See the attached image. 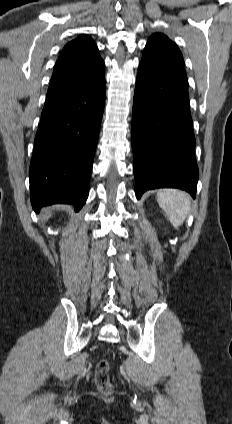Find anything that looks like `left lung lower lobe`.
I'll list each match as a JSON object with an SVG mask.
<instances>
[{
  "instance_id": "0a47b994",
  "label": "left lung lower lobe",
  "mask_w": 232,
  "mask_h": 424,
  "mask_svg": "<svg viewBox=\"0 0 232 424\" xmlns=\"http://www.w3.org/2000/svg\"><path fill=\"white\" fill-rule=\"evenodd\" d=\"M195 145L184 68L139 64L132 113L136 197L171 187L195 198Z\"/></svg>"
}]
</instances>
